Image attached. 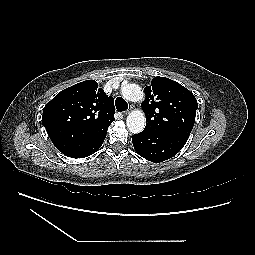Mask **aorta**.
<instances>
[{
	"label": "aorta",
	"instance_id": "1",
	"mask_svg": "<svg viewBox=\"0 0 255 255\" xmlns=\"http://www.w3.org/2000/svg\"><path fill=\"white\" fill-rule=\"evenodd\" d=\"M121 93L124 99L131 102H138L144 98V92L137 84H127L123 86ZM126 123L131 133L138 134L142 132L145 127V114L140 110H134L127 116Z\"/></svg>",
	"mask_w": 255,
	"mask_h": 255
}]
</instances>
